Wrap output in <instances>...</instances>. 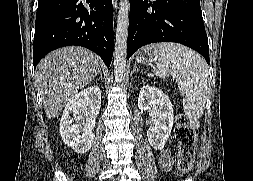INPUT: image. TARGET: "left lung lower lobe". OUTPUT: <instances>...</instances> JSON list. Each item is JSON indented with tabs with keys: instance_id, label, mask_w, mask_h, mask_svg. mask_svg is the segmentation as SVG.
I'll use <instances>...</instances> for the list:
<instances>
[{
	"instance_id": "obj_1",
	"label": "left lung lower lobe",
	"mask_w": 253,
	"mask_h": 181,
	"mask_svg": "<svg viewBox=\"0 0 253 181\" xmlns=\"http://www.w3.org/2000/svg\"><path fill=\"white\" fill-rule=\"evenodd\" d=\"M165 41L196 50L209 64L200 0H130L127 59L146 44Z\"/></svg>"
}]
</instances>
